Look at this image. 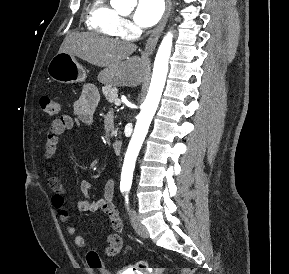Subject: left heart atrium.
I'll return each mask as SVG.
<instances>
[{"instance_id":"left-heart-atrium-1","label":"left heart atrium","mask_w":289,"mask_h":274,"mask_svg":"<svg viewBox=\"0 0 289 274\" xmlns=\"http://www.w3.org/2000/svg\"><path fill=\"white\" fill-rule=\"evenodd\" d=\"M163 10V0H138L133 18L138 25L150 27L159 21Z\"/></svg>"}]
</instances>
